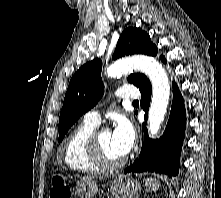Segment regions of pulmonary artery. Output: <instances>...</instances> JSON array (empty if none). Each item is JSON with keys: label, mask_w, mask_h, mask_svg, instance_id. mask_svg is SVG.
<instances>
[{"label": "pulmonary artery", "mask_w": 221, "mask_h": 198, "mask_svg": "<svg viewBox=\"0 0 221 198\" xmlns=\"http://www.w3.org/2000/svg\"><path fill=\"white\" fill-rule=\"evenodd\" d=\"M116 95L124 99H137L139 92L132 86H122L117 90ZM84 119L94 124H98L100 122V115L98 111L91 110L85 114Z\"/></svg>", "instance_id": "obj_1"}]
</instances>
